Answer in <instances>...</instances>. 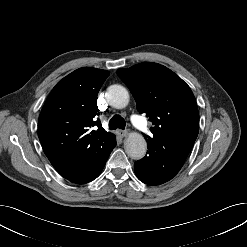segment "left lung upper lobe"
I'll return each instance as SVG.
<instances>
[{
	"label": "left lung upper lobe",
	"mask_w": 247,
	"mask_h": 247,
	"mask_svg": "<svg viewBox=\"0 0 247 247\" xmlns=\"http://www.w3.org/2000/svg\"><path fill=\"white\" fill-rule=\"evenodd\" d=\"M137 109L153 123L147 143H181L193 147L199 132V112L190 87L174 72L157 63L143 62L118 69Z\"/></svg>",
	"instance_id": "left-lung-upper-lobe-1"
}]
</instances>
